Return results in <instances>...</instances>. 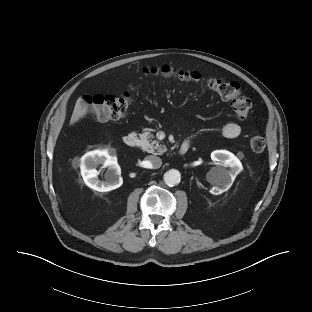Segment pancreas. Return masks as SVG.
Wrapping results in <instances>:
<instances>
[{"label": "pancreas", "instance_id": "obj_1", "mask_svg": "<svg viewBox=\"0 0 312 312\" xmlns=\"http://www.w3.org/2000/svg\"><path fill=\"white\" fill-rule=\"evenodd\" d=\"M140 137V146L142 149L148 153L162 155L166 152V146L162 145L159 141L152 140L154 135L149 131H145L142 134H139Z\"/></svg>", "mask_w": 312, "mask_h": 312}]
</instances>
